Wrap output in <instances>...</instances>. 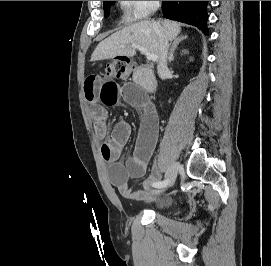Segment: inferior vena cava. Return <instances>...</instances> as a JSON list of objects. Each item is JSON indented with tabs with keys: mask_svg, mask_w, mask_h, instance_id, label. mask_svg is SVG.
I'll return each instance as SVG.
<instances>
[{
	"mask_svg": "<svg viewBox=\"0 0 271 266\" xmlns=\"http://www.w3.org/2000/svg\"><path fill=\"white\" fill-rule=\"evenodd\" d=\"M156 31L159 39V47H160V58H159V63L157 66L158 74L159 76L164 79L166 73L168 72V67H167V55H168V40L161 28L156 26Z\"/></svg>",
	"mask_w": 271,
	"mask_h": 266,
	"instance_id": "602c4592",
	"label": "inferior vena cava"
}]
</instances>
